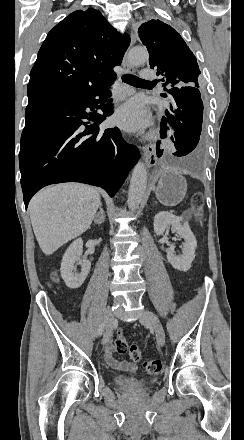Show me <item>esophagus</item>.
<instances>
[{
	"label": "esophagus",
	"mask_w": 244,
	"mask_h": 440,
	"mask_svg": "<svg viewBox=\"0 0 244 440\" xmlns=\"http://www.w3.org/2000/svg\"><path fill=\"white\" fill-rule=\"evenodd\" d=\"M135 42H136V37H135L134 33H131L130 47H132V45H134ZM128 57H129V50L125 53L124 58L122 60L123 72L124 73H133L134 70L131 67V65L129 64ZM142 152H143V158H144L148 167H153V165H156L157 157L155 154V147L152 143H149L148 145H144L142 147Z\"/></svg>",
	"instance_id": "1"
}]
</instances>
